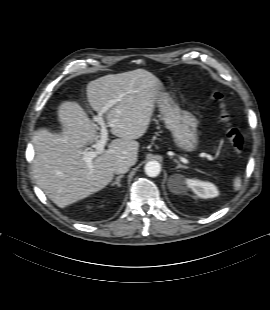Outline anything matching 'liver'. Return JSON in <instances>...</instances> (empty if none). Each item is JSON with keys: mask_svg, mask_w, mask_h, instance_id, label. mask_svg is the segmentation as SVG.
<instances>
[{"mask_svg": "<svg viewBox=\"0 0 270 310\" xmlns=\"http://www.w3.org/2000/svg\"><path fill=\"white\" fill-rule=\"evenodd\" d=\"M88 102L93 110L105 112L110 131L119 137L92 160V169L82 158L81 148L98 138L97 126L77 102L64 101L57 114L62 132L41 128L33 136V171L39 187L58 207L65 208L96 193L113 179V166L127 160L137 162L139 143L151 122L156 97L163 89L160 80L144 69L110 74L87 85Z\"/></svg>", "mask_w": 270, "mask_h": 310, "instance_id": "liver-1", "label": "liver"}]
</instances>
